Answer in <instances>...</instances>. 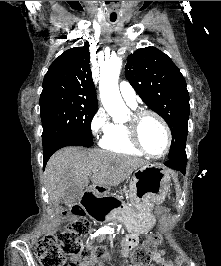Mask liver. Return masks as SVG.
Segmentation results:
<instances>
[{"mask_svg":"<svg viewBox=\"0 0 221 266\" xmlns=\"http://www.w3.org/2000/svg\"><path fill=\"white\" fill-rule=\"evenodd\" d=\"M149 162L135 156L116 154L101 149L66 147L49 159L45 169V184L50 200L58 205L65 190L71 186L86 187L90 179L94 187L117 186L137 168Z\"/></svg>","mask_w":221,"mask_h":266,"instance_id":"6515ba94","label":"liver"}]
</instances>
